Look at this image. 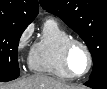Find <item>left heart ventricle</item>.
Here are the masks:
<instances>
[{
	"label": "left heart ventricle",
	"instance_id": "b2bd125f",
	"mask_svg": "<svg viewBox=\"0 0 107 89\" xmlns=\"http://www.w3.org/2000/svg\"><path fill=\"white\" fill-rule=\"evenodd\" d=\"M69 64L75 74H81L86 70L88 59L82 47L76 45L72 48L69 56Z\"/></svg>",
	"mask_w": 107,
	"mask_h": 89
}]
</instances>
